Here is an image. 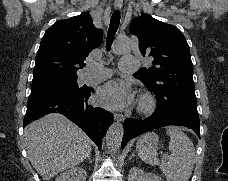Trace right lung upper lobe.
<instances>
[{"label": "right lung upper lobe", "mask_w": 228, "mask_h": 181, "mask_svg": "<svg viewBox=\"0 0 228 181\" xmlns=\"http://www.w3.org/2000/svg\"><path fill=\"white\" fill-rule=\"evenodd\" d=\"M102 35L89 13L57 21L41 40L33 80L77 76L88 53L100 46Z\"/></svg>", "instance_id": "cb5924a9"}]
</instances>
